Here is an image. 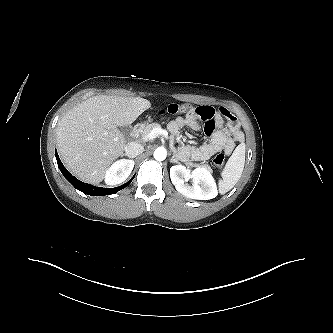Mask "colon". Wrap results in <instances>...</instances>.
<instances>
[{
  "label": "colon",
  "instance_id": "5ec220e1",
  "mask_svg": "<svg viewBox=\"0 0 333 333\" xmlns=\"http://www.w3.org/2000/svg\"><path fill=\"white\" fill-rule=\"evenodd\" d=\"M193 107L189 104H170L166 108L160 109L159 114H181L188 112ZM213 164L218 169H223L225 166V155L223 153H218L213 159Z\"/></svg>",
  "mask_w": 333,
  "mask_h": 333
}]
</instances>
